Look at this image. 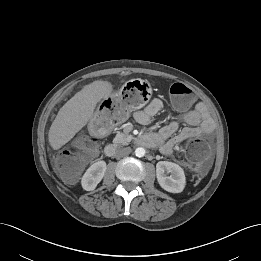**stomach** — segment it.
I'll list each match as a JSON object with an SVG mask.
<instances>
[{
  "label": "stomach",
  "instance_id": "0dacf381",
  "mask_svg": "<svg viewBox=\"0 0 261 261\" xmlns=\"http://www.w3.org/2000/svg\"><path fill=\"white\" fill-rule=\"evenodd\" d=\"M152 89L150 84L142 79H131L127 81L119 92L115 96L121 106L127 112V115L133 111L142 108L151 98ZM107 98H105L106 100ZM91 133L100 135L102 132H108L112 126H106L103 120L98 116L94 115L88 125Z\"/></svg>",
  "mask_w": 261,
  "mask_h": 261
}]
</instances>
